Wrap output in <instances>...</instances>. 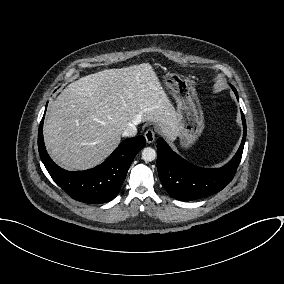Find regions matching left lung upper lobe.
<instances>
[{
    "instance_id": "left-lung-upper-lobe-1",
    "label": "left lung upper lobe",
    "mask_w": 284,
    "mask_h": 284,
    "mask_svg": "<svg viewBox=\"0 0 284 284\" xmlns=\"http://www.w3.org/2000/svg\"><path fill=\"white\" fill-rule=\"evenodd\" d=\"M231 88L233 89V91L235 92V93H237V91H236V89L231 85Z\"/></svg>"
}]
</instances>
